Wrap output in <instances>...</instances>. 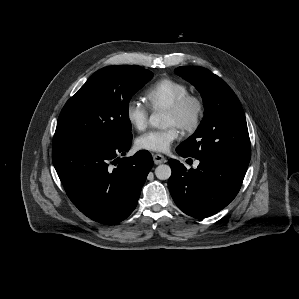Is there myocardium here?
I'll return each mask as SVG.
<instances>
[{"mask_svg": "<svg viewBox=\"0 0 299 299\" xmlns=\"http://www.w3.org/2000/svg\"><path fill=\"white\" fill-rule=\"evenodd\" d=\"M166 112L176 118V126L183 132L193 133L203 120L205 101L199 94L188 93L167 108Z\"/></svg>", "mask_w": 299, "mask_h": 299, "instance_id": "myocardium-1", "label": "myocardium"}]
</instances>
